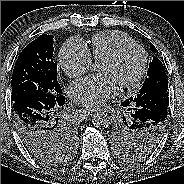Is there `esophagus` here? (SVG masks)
<instances>
[{
	"label": "esophagus",
	"mask_w": 184,
	"mask_h": 184,
	"mask_svg": "<svg viewBox=\"0 0 184 184\" xmlns=\"http://www.w3.org/2000/svg\"><path fill=\"white\" fill-rule=\"evenodd\" d=\"M101 110H84L85 113L100 112Z\"/></svg>",
	"instance_id": "1"
}]
</instances>
